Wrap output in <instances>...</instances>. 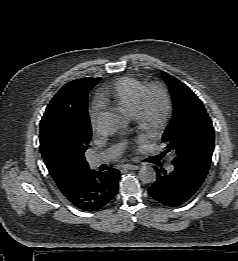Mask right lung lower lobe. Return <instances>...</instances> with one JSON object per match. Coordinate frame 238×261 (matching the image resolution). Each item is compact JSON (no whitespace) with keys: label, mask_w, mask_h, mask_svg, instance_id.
<instances>
[{"label":"right lung lower lobe","mask_w":238,"mask_h":261,"mask_svg":"<svg viewBox=\"0 0 238 261\" xmlns=\"http://www.w3.org/2000/svg\"><path fill=\"white\" fill-rule=\"evenodd\" d=\"M120 173L116 169L91 172L67 199L84 211H96L107 205L117 193Z\"/></svg>","instance_id":"98d812e1"}]
</instances>
